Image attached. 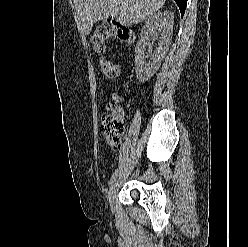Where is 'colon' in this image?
Returning <instances> with one entry per match:
<instances>
[{
  "label": "colon",
  "mask_w": 248,
  "mask_h": 247,
  "mask_svg": "<svg viewBox=\"0 0 248 247\" xmlns=\"http://www.w3.org/2000/svg\"><path fill=\"white\" fill-rule=\"evenodd\" d=\"M116 38L123 42L130 43L133 40L131 31L120 23L109 20L99 24L91 37L95 49L104 53L106 51V41L109 38ZM101 69L108 78H116L120 73L117 63L105 58L101 60ZM123 111L116 103L110 104L108 111L101 118V133L105 137L107 144L113 148H119L124 133Z\"/></svg>",
  "instance_id": "obj_1"
}]
</instances>
